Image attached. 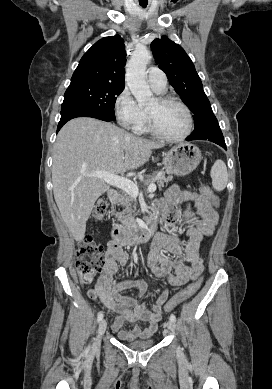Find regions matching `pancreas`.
<instances>
[{"mask_svg": "<svg viewBox=\"0 0 272 389\" xmlns=\"http://www.w3.org/2000/svg\"><path fill=\"white\" fill-rule=\"evenodd\" d=\"M170 180V177H166L164 172H159L155 176L149 177L146 180L145 184H149L153 181H156L158 186L164 187ZM132 197L126 193L121 192L118 195V198L112 202V209L114 210L116 206L123 207V211L113 212L112 214L117 219L121 225L120 227H132L134 225L133 209H132Z\"/></svg>", "mask_w": 272, "mask_h": 389, "instance_id": "obj_1", "label": "pancreas"}]
</instances>
